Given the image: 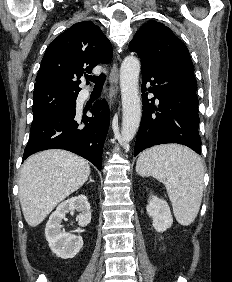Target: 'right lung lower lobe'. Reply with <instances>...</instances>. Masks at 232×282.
<instances>
[{
	"label": "right lung lower lobe",
	"mask_w": 232,
	"mask_h": 282,
	"mask_svg": "<svg viewBox=\"0 0 232 282\" xmlns=\"http://www.w3.org/2000/svg\"><path fill=\"white\" fill-rule=\"evenodd\" d=\"M76 105L58 111L42 122L32 124L30 139L23 160L46 149H64L76 153L102 168V151L108 132L110 114L105 100L97 101L90 109L92 117L83 116L84 128L75 120Z\"/></svg>",
	"instance_id": "1"
}]
</instances>
